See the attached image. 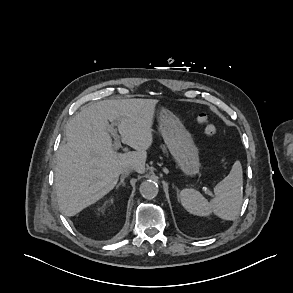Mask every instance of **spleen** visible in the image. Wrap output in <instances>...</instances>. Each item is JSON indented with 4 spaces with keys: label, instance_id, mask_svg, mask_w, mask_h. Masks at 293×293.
I'll return each instance as SVG.
<instances>
[{
    "label": "spleen",
    "instance_id": "3e777b00",
    "mask_svg": "<svg viewBox=\"0 0 293 293\" xmlns=\"http://www.w3.org/2000/svg\"><path fill=\"white\" fill-rule=\"evenodd\" d=\"M215 198L210 202L195 189H183L180 194L182 206L191 214L208 216L214 213L227 221L234 220L243 202V171L236 161L230 173L214 187Z\"/></svg>",
    "mask_w": 293,
    "mask_h": 293
}]
</instances>
